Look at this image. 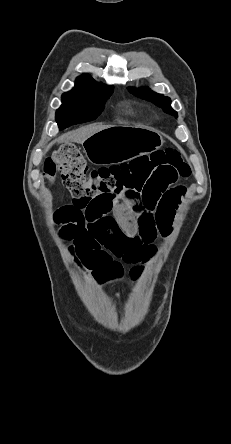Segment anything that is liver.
Segmentation results:
<instances>
[{"instance_id":"6515ba94","label":"liver","mask_w":231,"mask_h":444,"mask_svg":"<svg viewBox=\"0 0 231 444\" xmlns=\"http://www.w3.org/2000/svg\"><path fill=\"white\" fill-rule=\"evenodd\" d=\"M112 127L111 125H102V124H91L80 129H77L73 132L62 135L57 139V142H75L82 144L88 137L93 135L96 132H99L103 129Z\"/></svg>"}]
</instances>
